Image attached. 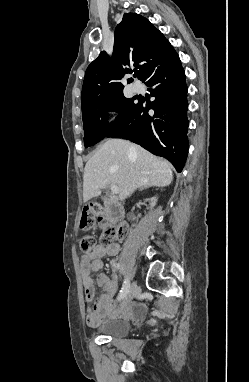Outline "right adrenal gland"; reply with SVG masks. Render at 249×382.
<instances>
[{
    "label": "right adrenal gland",
    "instance_id": "1",
    "mask_svg": "<svg viewBox=\"0 0 249 382\" xmlns=\"http://www.w3.org/2000/svg\"><path fill=\"white\" fill-rule=\"evenodd\" d=\"M149 186H150L149 184L148 185H144L143 187H141L140 191L143 190V189L148 188Z\"/></svg>",
    "mask_w": 249,
    "mask_h": 382
}]
</instances>
